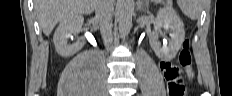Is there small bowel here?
<instances>
[{
  "label": "small bowel",
  "instance_id": "obj_1",
  "mask_svg": "<svg viewBox=\"0 0 232 96\" xmlns=\"http://www.w3.org/2000/svg\"><path fill=\"white\" fill-rule=\"evenodd\" d=\"M171 67H172L171 63H160L161 70H162V68H171ZM187 73L190 76L192 73L191 69H187Z\"/></svg>",
  "mask_w": 232,
  "mask_h": 96
}]
</instances>
